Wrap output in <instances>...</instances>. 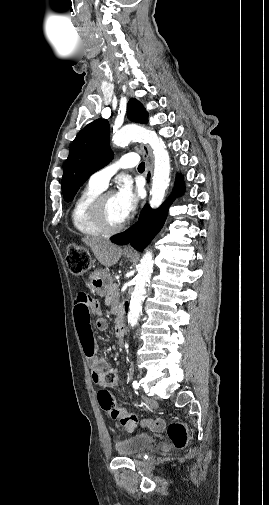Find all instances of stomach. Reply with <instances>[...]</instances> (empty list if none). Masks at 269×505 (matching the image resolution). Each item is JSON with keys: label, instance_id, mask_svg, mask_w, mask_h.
I'll list each match as a JSON object with an SVG mask.
<instances>
[{"label": "stomach", "instance_id": "stomach-1", "mask_svg": "<svg viewBox=\"0 0 269 505\" xmlns=\"http://www.w3.org/2000/svg\"><path fill=\"white\" fill-rule=\"evenodd\" d=\"M126 257L131 259L132 255L126 254ZM112 283V276L107 269L94 270L89 276V285L99 296H104Z\"/></svg>", "mask_w": 269, "mask_h": 505}]
</instances>
